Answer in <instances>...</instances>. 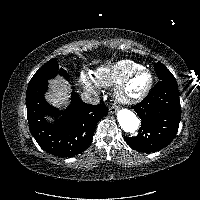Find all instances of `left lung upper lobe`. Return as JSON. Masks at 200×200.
Segmentation results:
<instances>
[{"label":"left lung upper lobe","instance_id":"1","mask_svg":"<svg viewBox=\"0 0 200 200\" xmlns=\"http://www.w3.org/2000/svg\"><path fill=\"white\" fill-rule=\"evenodd\" d=\"M154 68L160 80H175L172 73L162 63L157 62Z\"/></svg>","mask_w":200,"mask_h":200}]
</instances>
